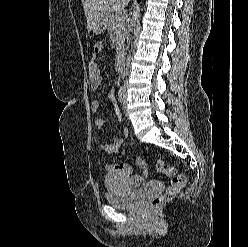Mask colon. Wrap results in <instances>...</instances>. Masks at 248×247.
<instances>
[{"label":"colon","instance_id":"1","mask_svg":"<svg viewBox=\"0 0 248 247\" xmlns=\"http://www.w3.org/2000/svg\"><path fill=\"white\" fill-rule=\"evenodd\" d=\"M102 49V43L96 42L94 45V50L99 51ZM136 162L139 168L143 171L144 174L147 173L148 168L145 161L141 158H137ZM155 170L158 173H162L167 175L170 178V184L166 189L164 195L156 197L152 200L153 207H159L162 205L166 200L178 194L181 189L186 185V177L185 175L178 172L175 167L167 166L165 162L161 159L156 160L155 162Z\"/></svg>","mask_w":248,"mask_h":247}]
</instances>
